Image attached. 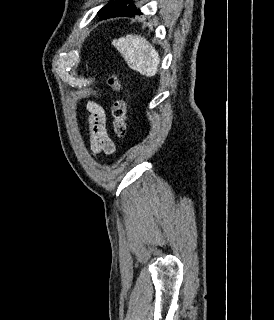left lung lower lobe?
<instances>
[{
  "label": "left lung lower lobe",
  "instance_id": "1",
  "mask_svg": "<svg viewBox=\"0 0 274 320\" xmlns=\"http://www.w3.org/2000/svg\"><path fill=\"white\" fill-rule=\"evenodd\" d=\"M142 13L140 12L139 9H137L134 5H132L131 7H129L128 9L122 11V12H113L110 14H105L102 15L101 19H106V18H110V17H133L135 15H141Z\"/></svg>",
  "mask_w": 274,
  "mask_h": 320
}]
</instances>
